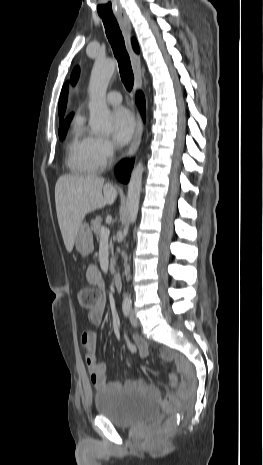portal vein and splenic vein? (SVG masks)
Wrapping results in <instances>:
<instances>
[{"mask_svg":"<svg viewBox=\"0 0 263 465\" xmlns=\"http://www.w3.org/2000/svg\"><path fill=\"white\" fill-rule=\"evenodd\" d=\"M110 231L106 227H102L100 231V238L101 239H107L109 237Z\"/></svg>","mask_w":263,"mask_h":465,"instance_id":"18ae733b","label":"portal vein and splenic vein"}]
</instances>
